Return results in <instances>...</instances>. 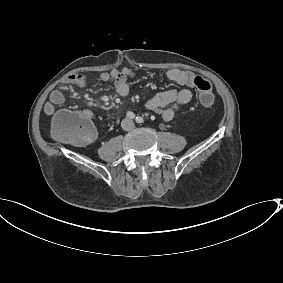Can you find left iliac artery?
<instances>
[{
	"label": "left iliac artery",
	"mask_w": 283,
	"mask_h": 283,
	"mask_svg": "<svg viewBox=\"0 0 283 283\" xmlns=\"http://www.w3.org/2000/svg\"><path fill=\"white\" fill-rule=\"evenodd\" d=\"M143 121H144V120H143L142 117H136V122H137V123L140 124V123H143Z\"/></svg>",
	"instance_id": "44dca946"
}]
</instances>
